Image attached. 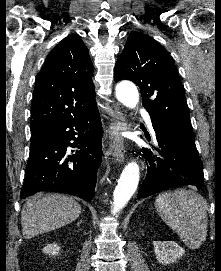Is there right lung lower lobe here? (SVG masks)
I'll return each instance as SVG.
<instances>
[{
	"label": "right lung lower lobe",
	"mask_w": 221,
	"mask_h": 271,
	"mask_svg": "<svg viewBox=\"0 0 221 271\" xmlns=\"http://www.w3.org/2000/svg\"><path fill=\"white\" fill-rule=\"evenodd\" d=\"M68 146L77 147L76 153L68 155ZM101 157V121L96 106L32 138L21 198L52 191L90 201Z\"/></svg>",
	"instance_id": "right-lung-lower-lobe-1"
}]
</instances>
